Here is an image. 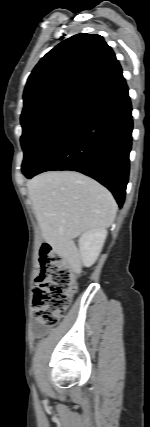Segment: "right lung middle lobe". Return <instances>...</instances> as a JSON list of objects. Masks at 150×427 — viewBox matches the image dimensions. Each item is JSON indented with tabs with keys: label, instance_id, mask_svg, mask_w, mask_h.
<instances>
[{
	"label": "right lung middle lobe",
	"instance_id": "obj_1",
	"mask_svg": "<svg viewBox=\"0 0 150 427\" xmlns=\"http://www.w3.org/2000/svg\"><path fill=\"white\" fill-rule=\"evenodd\" d=\"M80 106L53 104L34 109L21 116L24 151L22 172L27 177L38 166Z\"/></svg>",
	"mask_w": 150,
	"mask_h": 427
}]
</instances>
